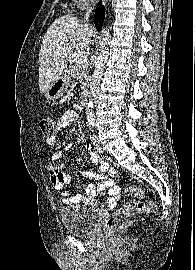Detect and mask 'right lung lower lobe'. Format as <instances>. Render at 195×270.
I'll return each mask as SVG.
<instances>
[{
  "label": "right lung lower lobe",
  "instance_id": "98d812e1",
  "mask_svg": "<svg viewBox=\"0 0 195 270\" xmlns=\"http://www.w3.org/2000/svg\"><path fill=\"white\" fill-rule=\"evenodd\" d=\"M105 18V11L102 5V1L98 3L95 15H94V23L97 30H101L102 24Z\"/></svg>",
  "mask_w": 195,
  "mask_h": 270
}]
</instances>
